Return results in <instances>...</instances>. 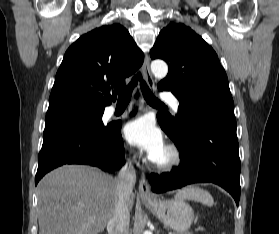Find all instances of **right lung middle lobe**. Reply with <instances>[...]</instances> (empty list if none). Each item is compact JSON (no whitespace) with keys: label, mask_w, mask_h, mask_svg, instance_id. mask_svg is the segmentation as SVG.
Listing matches in <instances>:
<instances>
[{"label":"right lung middle lobe","mask_w":279,"mask_h":234,"mask_svg":"<svg viewBox=\"0 0 279 234\" xmlns=\"http://www.w3.org/2000/svg\"><path fill=\"white\" fill-rule=\"evenodd\" d=\"M104 108L67 105L48 109L45 120V131L71 125H84L95 128L103 127Z\"/></svg>","instance_id":"obj_1"}]
</instances>
